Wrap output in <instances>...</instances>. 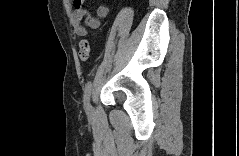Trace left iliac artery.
<instances>
[{
	"label": "left iliac artery",
	"mask_w": 239,
	"mask_h": 156,
	"mask_svg": "<svg viewBox=\"0 0 239 156\" xmlns=\"http://www.w3.org/2000/svg\"><path fill=\"white\" fill-rule=\"evenodd\" d=\"M91 89H92V82L89 81L85 85V89H84V102L85 103L90 99Z\"/></svg>",
	"instance_id": "left-iliac-artery-1"
}]
</instances>
